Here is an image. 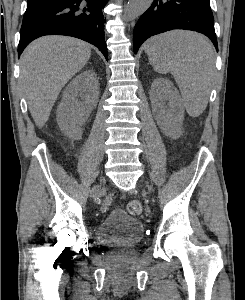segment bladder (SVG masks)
I'll list each match as a JSON object with an SVG mask.
<instances>
[{"mask_svg": "<svg viewBox=\"0 0 245 300\" xmlns=\"http://www.w3.org/2000/svg\"><path fill=\"white\" fill-rule=\"evenodd\" d=\"M142 222L122 211L115 210L107 215L97 227L99 241L109 247H131L143 237Z\"/></svg>", "mask_w": 245, "mask_h": 300, "instance_id": "bladder-1", "label": "bladder"}]
</instances>
